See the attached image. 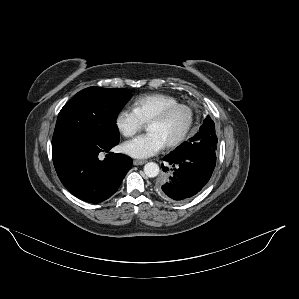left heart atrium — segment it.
Returning a JSON list of instances; mask_svg holds the SVG:
<instances>
[{"instance_id":"1","label":"left heart atrium","mask_w":299,"mask_h":299,"mask_svg":"<svg viewBox=\"0 0 299 299\" xmlns=\"http://www.w3.org/2000/svg\"><path fill=\"white\" fill-rule=\"evenodd\" d=\"M165 146L161 137L154 132H148L122 144L123 153L133 158H147L157 154Z\"/></svg>"}]
</instances>
